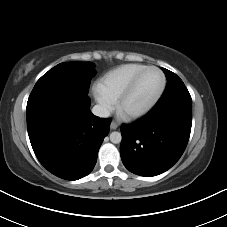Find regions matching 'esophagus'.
<instances>
[{
  "mask_svg": "<svg viewBox=\"0 0 227 227\" xmlns=\"http://www.w3.org/2000/svg\"><path fill=\"white\" fill-rule=\"evenodd\" d=\"M118 128V123L115 122V121H112L111 124H110V129L111 130H115Z\"/></svg>",
  "mask_w": 227,
  "mask_h": 227,
  "instance_id": "1",
  "label": "esophagus"
}]
</instances>
